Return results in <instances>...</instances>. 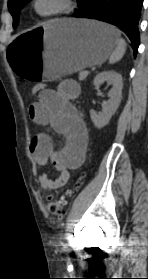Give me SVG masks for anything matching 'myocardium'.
Returning a JSON list of instances; mask_svg holds the SVG:
<instances>
[{
	"instance_id": "1",
	"label": "myocardium",
	"mask_w": 148,
	"mask_h": 279,
	"mask_svg": "<svg viewBox=\"0 0 148 279\" xmlns=\"http://www.w3.org/2000/svg\"><path fill=\"white\" fill-rule=\"evenodd\" d=\"M40 0H32L31 7L33 12L43 18V19H51L61 17L65 14L70 13L75 7V0H59L60 4L48 11H41L38 8Z\"/></svg>"
}]
</instances>
